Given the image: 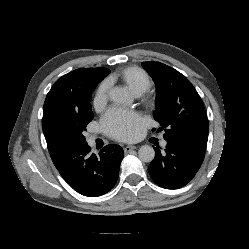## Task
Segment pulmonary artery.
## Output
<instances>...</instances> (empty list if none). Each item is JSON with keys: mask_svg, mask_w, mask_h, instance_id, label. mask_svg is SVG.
<instances>
[{"mask_svg": "<svg viewBox=\"0 0 249 249\" xmlns=\"http://www.w3.org/2000/svg\"><path fill=\"white\" fill-rule=\"evenodd\" d=\"M94 139H95L94 137H89L88 142H89L90 144H93ZM161 145H162L163 147H165V146L167 145V141H166V140H162V141H161Z\"/></svg>", "mask_w": 249, "mask_h": 249, "instance_id": "1", "label": "pulmonary artery"}]
</instances>
